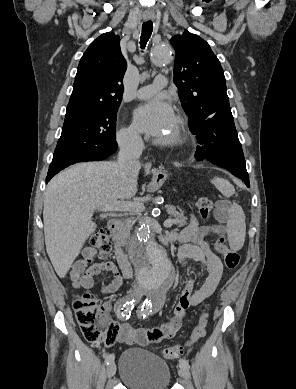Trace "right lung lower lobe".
Masks as SVG:
<instances>
[{
  "mask_svg": "<svg viewBox=\"0 0 296 389\" xmlns=\"http://www.w3.org/2000/svg\"><path fill=\"white\" fill-rule=\"evenodd\" d=\"M115 151H116V149H115ZM115 151L109 153L108 156L111 155V154H113ZM108 156H107V157H108ZM62 169H63V168H50V167H49V171H48V174H47L46 182H49L50 179H51L55 174H57L60 170H62Z\"/></svg>",
  "mask_w": 296,
  "mask_h": 389,
  "instance_id": "right-lung-lower-lobe-1",
  "label": "right lung lower lobe"
}]
</instances>
